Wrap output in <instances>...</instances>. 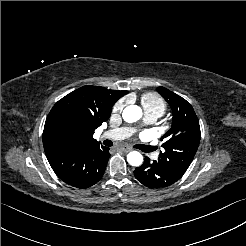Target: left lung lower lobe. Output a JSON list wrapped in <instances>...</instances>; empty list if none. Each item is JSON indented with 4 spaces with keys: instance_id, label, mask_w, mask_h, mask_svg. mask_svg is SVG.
<instances>
[{
    "instance_id": "obj_1",
    "label": "left lung lower lobe",
    "mask_w": 246,
    "mask_h": 246,
    "mask_svg": "<svg viewBox=\"0 0 246 246\" xmlns=\"http://www.w3.org/2000/svg\"><path fill=\"white\" fill-rule=\"evenodd\" d=\"M134 175L143 185L149 188L167 187L181 178L158 160L151 162L148 157H145L143 165L135 169Z\"/></svg>"
}]
</instances>
